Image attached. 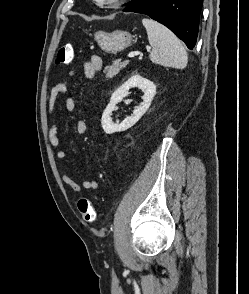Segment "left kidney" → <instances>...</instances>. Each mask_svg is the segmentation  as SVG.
I'll return each mask as SVG.
<instances>
[{
  "mask_svg": "<svg viewBox=\"0 0 249 294\" xmlns=\"http://www.w3.org/2000/svg\"><path fill=\"white\" fill-rule=\"evenodd\" d=\"M132 87H138L143 91V102L134 109L133 114L130 117L125 118L121 123H114L111 117L112 112L115 110L116 104L128 95V91ZM155 94L156 86L153 82L138 74L131 76L123 85L114 91L109 104L103 112L101 125L104 132L112 134L131 128L148 110Z\"/></svg>",
  "mask_w": 249,
  "mask_h": 294,
  "instance_id": "5707ae66",
  "label": "left kidney"
}]
</instances>
